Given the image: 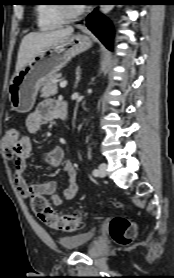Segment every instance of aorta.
I'll list each match as a JSON object with an SVG mask.
<instances>
[{
  "instance_id": "762f6f07",
  "label": "aorta",
  "mask_w": 174,
  "mask_h": 278,
  "mask_svg": "<svg viewBox=\"0 0 174 278\" xmlns=\"http://www.w3.org/2000/svg\"><path fill=\"white\" fill-rule=\"evenodd\" d=\"M113 8V5H101V11L103 13H108Z\"/></svg>"
}]
</instances>
